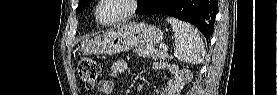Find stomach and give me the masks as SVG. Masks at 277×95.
<instances>
[{
	"mask_svg": "<svg viewBox=\"0 0 277 95\" xmlns=\"http://www.w3.org/2000/svg\"><path fill=\"white\" fill-rule=\"evenodd\" d=\"M163 40L160 28L145 23H128L81 43L83 55L117 54L134 47L154 46Z\"/></svg>",
	"mask_w": 277,
	"mask_h": 95,
	"instance_id": "1",
	"label": "stomach"
}]
</instances>
